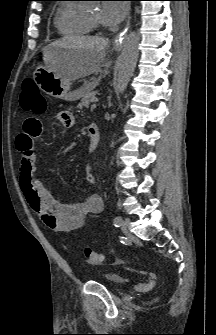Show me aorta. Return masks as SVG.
Wrapping results in <instances>:
<instances>
[{"label": "aorta", "instance_id": "762f6f07", "mask_svg": "<svg viewBox=\"0 0 216 335\" xmlns=\"http://www.w3.org/2000/svg\"><path fill=\"white\" fill-rule=\"evenodd\" d=\"M139 34L130 32L123 43L122 52L119 58L117 70L116 93L123 94L132 77L139 55Z\"/></svg>", "mask_w": 216, "mask_h": 335}]
</instances>
